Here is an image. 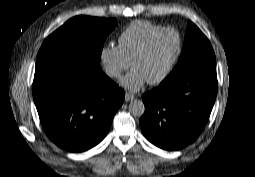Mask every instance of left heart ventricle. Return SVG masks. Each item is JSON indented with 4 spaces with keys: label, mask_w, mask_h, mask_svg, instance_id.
<instances>
[{
    "label": "left heart ventricle",
    "mask_w": 255,
    "mask_h": 177,
    "mask_svg": "<svg viewBox=\"0 0 255 177\" xmlns=\"http://www.w3.org/2000/svg\"><path fill=\"white\" fill-rule=\"evenodd\" d=\"M177 48L176 34L174 32L163 33L154 41L148 53L133 64L132 69L139 71L147 81L153 80L162 74Z\"/></svg>",
    "instance_id": "left-heart-ventricle-1"
}]
</instances>
